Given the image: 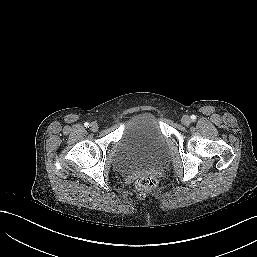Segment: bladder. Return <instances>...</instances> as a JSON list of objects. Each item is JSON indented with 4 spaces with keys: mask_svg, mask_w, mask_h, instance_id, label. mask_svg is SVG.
I'll return each mask as SVG.
<instances>
[{
    "mask_svg": "<svg viewBox=\"0 0 257 257\" xmlns=\"http://www.w3.org/2000/svg\"><path fill=\"white\" fill-rule=\"evenodd\" d=\"M127 170L156 168L167 158V142L153 113H138L118 141Z\"/></svg>",
    "mask_w": 257,
    "mask_h": 257,
    "instance_id": "1",
    "label": "bladder"
}]
</instances>
